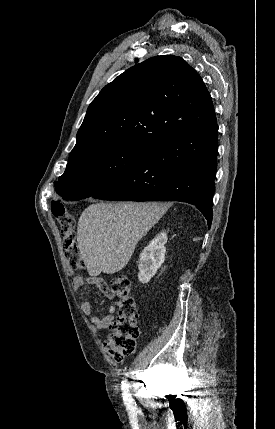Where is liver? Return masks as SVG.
<instances>
[{
	"label": "liver",
	"mask_w": 275,
	"mask_h": 429,
	"mask_svg": "<svg viewBox=\"0 0 275 429\" xmlns=\"http://www.w3.org/2000/svg\"><path fill=\"white\" fill-rule=\"evenodd\" d=\"M162 203H95L81 214L77 243L90 276L121 271L138 241L159 221Z\"/></svg>",
	"instance_id": "obj_1"
}]
</instances>
